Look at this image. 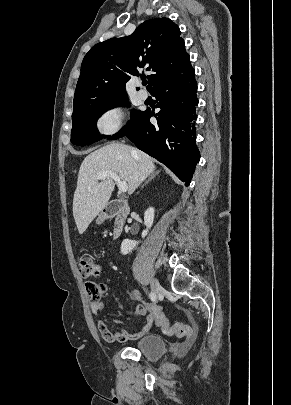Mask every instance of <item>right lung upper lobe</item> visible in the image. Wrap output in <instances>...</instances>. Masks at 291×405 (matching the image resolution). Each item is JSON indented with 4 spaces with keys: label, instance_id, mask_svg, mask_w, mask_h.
<instances>
[{
    "label": "right lung upper lobe",
    "instance_id": "obj_1",
    "mask_svg": "<svg viewBox=\"0 0 291 405\" xmlns=\"http://www.w3.org/2000/svg\"><path fill=\"white\" fill-rule=\"evenodd\" d=\"M179 27L168 18L145 21L128 37L94 45L85 55L77 82L73 113L91 105L127 96L130 75L145 68L150 93L161 83L194 71Z\"/></svg>",
    "mask_w": 291,
    "mask_h": 405
}]
</instances>
